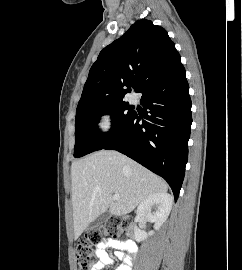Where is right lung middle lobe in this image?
<instances>
[{
	"mask_svg": "<svg viewBox=\"0 0 242 270\" xmlns=\"http://www.w3.org/2000/svg\"><path fill=\"white\" fill-rule=\"evenodd\" d=\"M134 111L123 100L106 102L83 111L76 112L75 118V153L82 157L100 150L126 125ZM112 117V128L107 133L98 131L97 120L101 115Z\"/></svg>",
	"mask_w": 242,
	"mask_h": 270,
	"instance_id": "dd1d6c3e",
	"label": "right lung middle lobe"
}]
</instances>
